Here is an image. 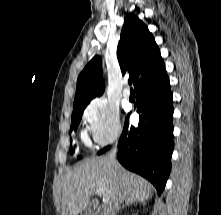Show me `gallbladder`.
Instances as JSON below:
<instances>
[{
  "label": "gallbladder",
  "instance_id": "gallbladder-1",
  "mask_svg": "<svg viewBox=\"0 0 221 215\" xmlns=\"http://www.w3.org/2000/svg\"><path fill=\"white\" fill-rule=\"evenodd\" d=\"M95 212V203L89 202L84 215H93Z\"/></svg>",
  "mask_w": 221,
  "mask_h": 215
}]
</instances>
